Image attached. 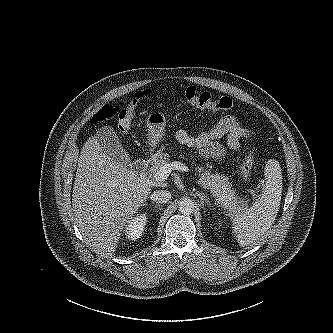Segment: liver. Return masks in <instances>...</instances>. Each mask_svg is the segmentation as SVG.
<instances>
[{
  "instance_id": "obj_1",
  "label": "liver",
  "mask_w": 333,
  "mask_h": 333,
  "mask_svg": "<svg viewBox=\"0 0 333 333\" xmlns=\"http://www.w3.org/2000/svg\"><path fill=\"white\" fill-rule=\"evenodd\" d=\"M152 184L105 154L96 137L81 149L72 194L76 223L92 245L111 257L121 232L147 200Z\"/></svg>"
}]
</instances>
